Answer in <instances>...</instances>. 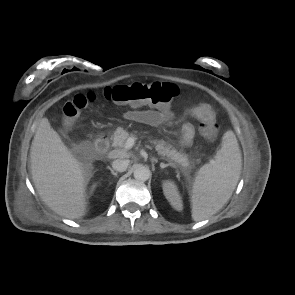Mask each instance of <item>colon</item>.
Here are the masks:
<instances>
[{"label": "colon", "instance_id": "5ec220e1", "mask_svg": "<svg viewBox=\"0 0 295 295\" xmlns=\"http://www.w3.org/2000/svg\"><path fill=\"white\" fill-rule=\"evenodd\" d=\"M179 94V89L172 83L162 82H135L132 84L107 86L99 92L79 94L68 101L64 108L67 119L76 118L89 104L98 99H104L119 105L133 107L150 105L160 109L167 108ZM219 125L215 118L203 121L200 127L201 134L208 140L217 137Z\"/></svg>", "mask_w": 295, "mask_h": 295}]
</instances>
